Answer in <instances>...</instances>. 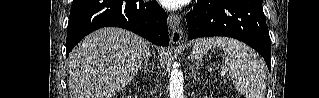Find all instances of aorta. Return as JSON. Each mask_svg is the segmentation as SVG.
I'll use <instances>...</instances> for the list:
<instances>
[{
    "label": "aorta",
    "instance_id": "762f6f07",
    "mask_svg": "<svg viewBox=\"0 0 319 98\" xmlns=\"http://www.w3.org/2000/svg\"><path fill=\"white\" fill-rule=\"evenodd\" d=\"M183 74L176 66H173L170 74V98H183Z\"/></svg>",
    "mask_w": 319,
    "mask_h": 98
}]
</instances>
